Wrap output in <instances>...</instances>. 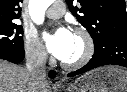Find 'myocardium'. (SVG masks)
Here are the masks:
<instances>
[{"instance_id": "1", "label": "myocardium", "mask_w": 127, "mask_h": 92, "mask_svg": "<svg viewBox=\"0 0 127 92\" xmlns=\"http://www.w3.org/2000/svg\"><path fill=\"white\" fill-rule=\"evenodd\" d=\"M74 34L83 39L85 48L83 54L77 60L72 62L61 61V66L69 70L79 69L86 65L93 57L95 51L93 37L86 29L76 28Z\"/></svg>"}]
</instances>
